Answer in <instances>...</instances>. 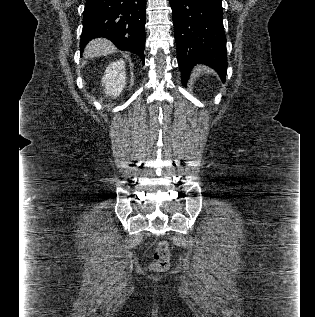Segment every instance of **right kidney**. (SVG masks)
Instances as JSON below:
<instances>
[{
  "label": "right kidney",
  "instance_id": "obj_1",
  "mask_svg": "<svg viewBox=\"0 0 315 317\" xmlns=\"http://www.w3.org/2000/svg\"><path fill=\"white\" fill-rule=\"evenodd\" d=\"M125 62L120 59L119 61L112 62L105 70L102 77V85L105 87L106 96H119L126 85V72Z\"/></svg>",
  "mask_w": 315,
  "mask_h": 317
}]
</instances>
